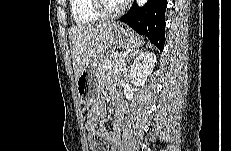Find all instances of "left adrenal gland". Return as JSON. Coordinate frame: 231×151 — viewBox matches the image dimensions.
Instances as JSON below:
<instances>
[{
    "label": "left adrenal gland",
    "instance_id": "1",
    "mask_svg": "<svg viewBox=\"0 0 231 151\" xmlns=\"http://www.w3.org/2000/svg\"><path fill=\"white\" fill-rule=\"evenodd\" d=\"M142 52H139V51H136V52H134V53H132L128 58H127V62H129V60H130V58L131 57H135V56H137L138 54H141ZM129 68L127 67H125V69H124V72H123V74H124V76L126 77V79H129L130 78V75L128 74L129 73Z\"/></svg>",
    "mask_w": 231,
    "mask_h": 151
}]
</instances>
